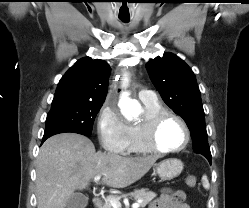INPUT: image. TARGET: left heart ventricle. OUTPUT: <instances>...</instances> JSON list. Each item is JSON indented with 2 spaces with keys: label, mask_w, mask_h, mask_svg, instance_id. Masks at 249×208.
Masks as SVG:
<instances>
[{
  "label": "left heart ventricle",
  "mask_w": 249,
  "mask_h": 208,
  "mask_svg": "<svg viewBox=\"0 0 249 208\" xmlns=\"http://www.w3.org/2000/svg\"><path fill=\"white\" fill-rule=\"evenodd\" d=\"M185 140V131L181 124L174 119H167L155 136V143L163 149L180 147Z\"/></svg>",
  "instance_id": "obj_1"
}]
</instances>
